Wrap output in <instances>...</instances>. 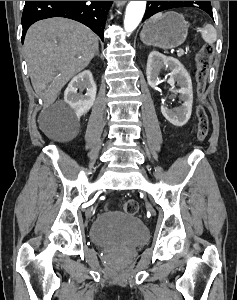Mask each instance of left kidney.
Returning <instances> with one entry per match:
<instances>
[{"instance_id": "5707ae66", "label": "left kidney", "mask_w": 237, "mask_h": 300, "mask_svg": "<svg viewBox=\"0 0 237 300\" xmlns=\"http://www.w3.org/2000/svg\"><path fill=\"white\" fill-rule=\"evenodd\" d=\"M164 67L171 71L168 83L172 89H175V83L179 85L180 89H177L175 93H180V101L183 103L179 109H168L165 105H161V113L175 127H183L188 123L192 113L193 87L191 77L178 59L165 57L158 51H152L148 57L146 75L148 85L153 87L155 91L158 89V75Z\"/></svg>"}]
</instances>
